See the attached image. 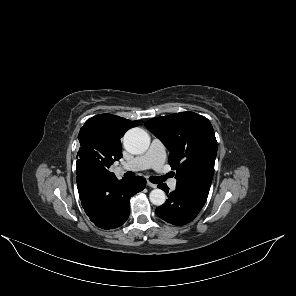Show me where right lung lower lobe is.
<instances>
[{
	"instance_id": "98d812e1",
	"label": "right lung lower lobe",
	"mask_w": 296,
	"mask_h": 296,
	"mask_svg": "<svg viewBox=\"0 0 296 296\" xmlns=\"http://www.w3.org/2000/svg\"><path fill=\"white\" fill-rule=\"evenodd\" d=\"M76 174L82 207L90 220L102 229L124 224L130 213V198L146 186L141 176L130 180H118L114 174L102 176L83 160L77 161Z\"/></svg>"
}]
</instances>
